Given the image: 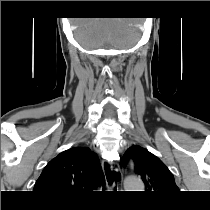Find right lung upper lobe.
Here are the masks:
<instances>
[{
  "mask_svg": "<svg viewBox=\"0 0 210 210\" xmlns=\"http://www.w3.org/2000/svg\"><path fill=\"white\" fill-rule=\"evenodd\" d=\"M96 153L88 147H73L52 159L35 183L34 192L57 203L77 199L104 182Z\"/></svg>",
  "mask_w": 210,
  "mask_h": 210,
  "instance_id": "cb5924a9",
  "label": "right lung upper lobe"
}]
</instances>
